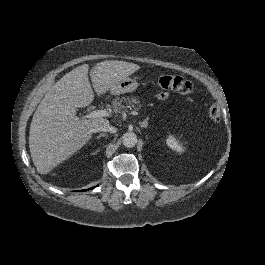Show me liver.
I'll list each match as a JSON object with an SVG mask.
<instances>
[{"label":"liver","instance_id":"obj_1","mask_svg":"<svg viewBox=\"0 0 265 265\" xmlns=\"http://www.w3.org/2000/svg\"><path fill=\"white\" fill-rule=\"evenodd\" d=\"M140 66L125 61H103L91 70L92 86L98 96L114 84L132 75ZM89 65L83 64L66 73L39 103L29 131V148L40 174L49 173L88 142L96 126L108 123L103 118L79 119L77 108L94 99L88 79Z\"/></svg>","mask_w":265,"mask_h":265}]
</instances>
